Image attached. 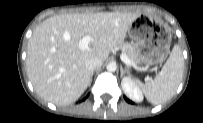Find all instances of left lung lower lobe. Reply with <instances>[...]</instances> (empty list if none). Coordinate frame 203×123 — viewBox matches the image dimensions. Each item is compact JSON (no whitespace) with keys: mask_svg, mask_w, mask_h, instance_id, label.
<instances>
[{"mask_svg":"<svg viewBox=\"0 0 203 123\" xmlns=\"http://www.w3.org/2000/svg\"><path fill=\"white\" fill-rule=\"evenodd\" d=\"M128 102H130L127 98H125Z\"/></svg>","mask_w":203,"mask_h":123,"instance_id":"obj_1","label":"left lung lower lobe"}]
</instances>
